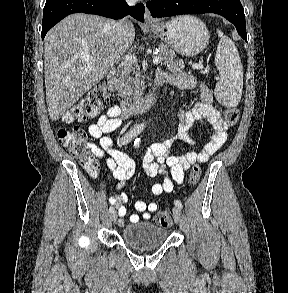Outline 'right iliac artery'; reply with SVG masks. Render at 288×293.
<instances>
[{"label":"right iliac artery","mask_w":288,"mask_h":293,"mask_svg":"<svg viewBox=\"0 0 288 293\" xmlns=\"http://www.w3.org/2000/svg\"><path fill=\"white\" fill-rule=\"evenodd\" d=\"M143 130L142 126H136L134 127L130 132L126 133L122 138H121V144L125 145L131 142L136 136H138ZM109 212L113 213L114 212V207L109 208Z\"/></svg>","instance_id":"1"}]
</instances>
